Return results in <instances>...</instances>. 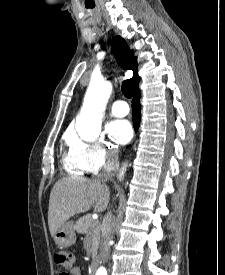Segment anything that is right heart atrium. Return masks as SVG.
<instances>
[{"label": "right heart atrium", "instance_id": "1", "mask_svg": "<svg viewBox=\"0 0 225 275\" xmlns=\"http://www.w3.org/2000/svg\"><path fill=\"white\" fill-rule=\"evenodd\" d=\"M71 153L77 158L86 172L94 173L117 159V151L102 137L94 141H84L70 136Z\"/></svg>", "mask_w": 225, "mask_h": 275}]
</instances>
